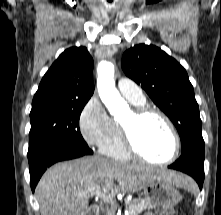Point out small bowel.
<instances>
[{
  "mask_svg": "<svg viewBox=\"0 0 221 215\" xmlns=\"http://www.w3.org/2000/svg\"><path fill=\"white\" fill-rule=\"evenodd\" d=\"M144 215H154V214L151 212H148V213H145Z\"/></svg>",
  "mask_w": 221,
  "mask_h": 215,
  "instance_id": "1",
  "label": "small bowel"
}]
</instances>
